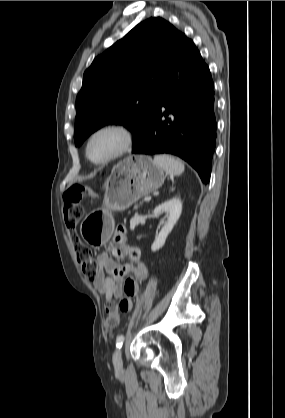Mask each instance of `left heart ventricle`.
Returning a JSON list of instances; mask_svg holds the SVG:
<instances>
[{
	"instance_id": "left-heart-ventricle-1",
	"label": "left heart ventricle",
	"mask_w": 285,
	"mask_h": 418,
	"mask_svg": "<svg viewBox=\"0 0 285 418\" xmlns=\"http://www.w3.org/2000/svg\"><path fill=\"white\" fill-rule=\"evenodd\" d=\"M121 137L115 132H103L97 135L89 146V154L93 160L99 161L113 153L120 145Z\"/></svg>"
}]
</instances>
